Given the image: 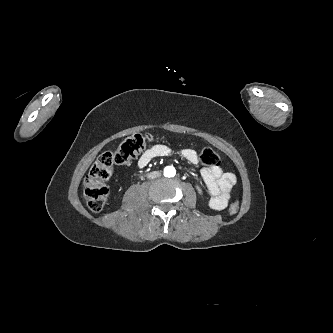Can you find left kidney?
Instances as JSON below:
<instances>
[{
    "mask_svg": "<svg viewBox=\"0 0 333 333\" xmlns=\"http://www.w3.org/2000/svg\"><path fill=\"white\" fill-rule=\"evenodd\" d=\"M198 191L201 192V190L199 189V187H197Z\"/></svg>",
    "mask_w": 333,
    "mask_h": 333,
    "instance_id": "obj_1",
    "label": "left kidney"
}]
</instances>
